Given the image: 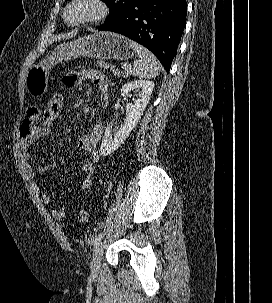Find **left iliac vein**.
Listing matches in <instances>:
<instances>
[{"label": "left iliac vein", "instance_id": "left-iliac-vein-1", "mask_svg": "<svg viewBox=\"0 0 272 303\" xmlns=\"http://www.w3.org/2000/svg\"><path fill=\"white\" fill-rule=\"evenodd\" d=\"M105 243L103 240L98 241L93 249V257L91 261V272L96 275L101 267V258L103 255Z\"/></svg>", "mask_w": 272, "mask_h": 303}]
</instances>
